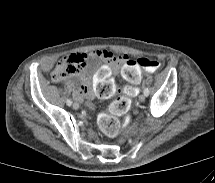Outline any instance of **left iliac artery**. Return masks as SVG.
Here are the masks:
<instances>
[{
	"instance_id": "1",
	"label": "left iliac artery",
	"mask_w": 215,
	"mask_h": 183,
	"mask_svg": "<svg viewBox=\"0 0 215 183\" xmlns=\"http://www.w3.org/2000/svg\"><path fill=\"white\" fill-rule=\"evenodd\" d=\"M143 93L145 94V96H148L149 95V89L148 88H145Z\"/></svg>"
}]
</instances>
